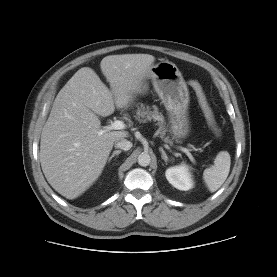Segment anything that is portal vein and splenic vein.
<instances>
[{"label": "portal vein and splenic vein", "mask_w": 277, "mask_h": 277, "mask_svg": "<svg viewBox=\"0 0 277 277\" xmlns=\"http://www.w3.org/2000/svg\"><path fill=\"white\" fill-rule=\"evenodd\" d=\"M124 128H125V124H124L123 121L115 120V121L112 122L110 125L105 126L103 129H101V130L99 131V134H103V133L109 132V131H111V130H122V129H124ZM180 149H181V151H183V152L188 156V158H189L192 162L195 161V160H194V157H193L192 154L190 153V150H189V149L184 148V147H181ZM193 150L198 151L199 149L193 147Z\"/></svg>", "instance_id": "obj_1"}]
</instances>
